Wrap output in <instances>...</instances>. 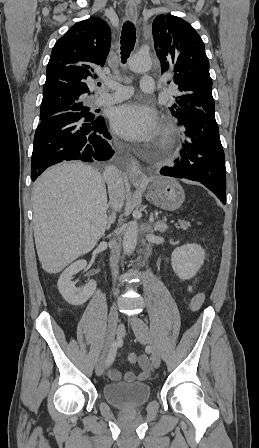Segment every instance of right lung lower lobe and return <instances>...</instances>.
I'll use <instances>...</instances> for the list:
<instances>
[{
	"label": "right lung lower lobe",
	"mask_w": 259,
	"mask_h": 448,
	"mask_svg": "<svg viewBox=\"0 0 259 448\" xmlns=\"http://www.w3.org/2000/svg\"><path fill=\"white\" fill-rule=\"evenodd\" d=\"M111 138L102 116L86 121L83 117L63 113L41 121L34 136L32 180L49 166L64 160L110 159L114 154L108 143Z\"/></svg>",
	"instance_id": "1"
}]
</instances>
